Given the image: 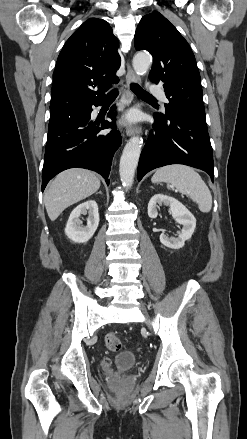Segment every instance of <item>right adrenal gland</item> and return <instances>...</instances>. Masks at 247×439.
Segmentation results:
<instances>
[{
    "mask_svg": "<svg viewBox=\"0 0 247 439\" xmlns=\"http://www.w3.org/2000/svg\"><path fill=\"white\" fill-rule=\"evenodd\" d=\"M96 194H102V191H99L98 193H96Z\"/></svg>",
    "mask_w": 247,
    "mask_h": 439,
    "instance_id": "1",
    "label": "right adrenal gland"
}]
</instances>
